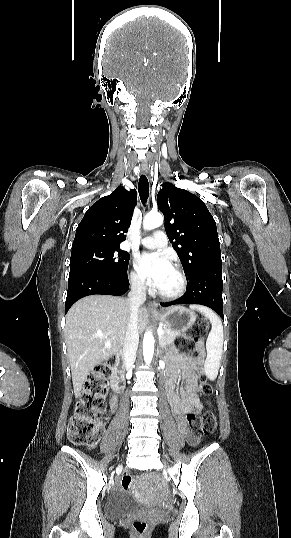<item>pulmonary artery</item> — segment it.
Returning <instances> with one entry per match:
<instances>
[{
	"mask_svg": "<svg viewBox=\"0 0 291 538\" xmlns=\"http://www.w3.org/2000/svg\"><path fill=\"white\" fill-rule=\"evenodd\" d=\"M140 243L146 248L161 249L166 247L168 239L163 231L157 230L152 235L142 238Z\"/></svg>",
	"mask_w": 291,
	"mask_h": 538,
	"instance_id": "obj_1",
	"label": "pulmonary artery"
}]
</instances>
